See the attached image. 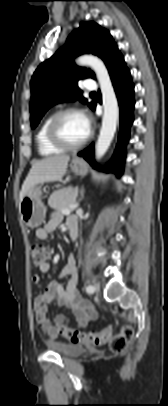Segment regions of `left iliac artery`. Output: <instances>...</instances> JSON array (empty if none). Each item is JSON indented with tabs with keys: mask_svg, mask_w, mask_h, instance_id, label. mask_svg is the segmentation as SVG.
Here are the masks:
<instances>
[{
	"mask_svg": "<svg viewBox=\"0 0 168 406\" xmlns=\"http://www.w3.org/2000/svg\"><path fill=\"white\" fill-rule=\"evenodd\" d=\"M86 291H87V293L92 294V293H94L95 289L93 286L89 285L86 287Z\"/></svg>",
	"mask_w": 168,
	"mask_h": 406,
	"instance_id": "1",
	"label": "left iliac artery"
}]
</instances>
